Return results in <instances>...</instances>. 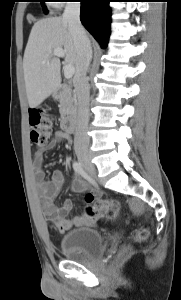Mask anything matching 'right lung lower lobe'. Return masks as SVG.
Here are the masks:
<instances>
[{"label": "right lung lower lobe", "instance_id": "right-lung-lower-lobe-1", "mask_svg": "<svg viewBox=\"0 0 181 300\" xmlns=\"http://www.w3.org/2000/svg\"><path fill=\"white\" fill-rule=\"evenodd\" d=\"M81 2L80 19L85 28L106 48L109 39L111 21V0H79Z\"/></svg>", "mask_w": 181, "mask_h": 300}]
</instances>
